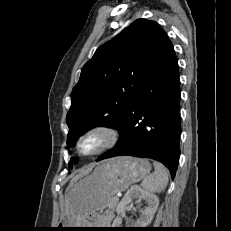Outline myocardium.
<instances>
[{"label": "myocardium", "instance_id": "obj_1", "mask_svg": "<svg viewBox=\"0 0 231 231\" xmlns=\"http://www.w3.org/2000/svg\"><path fill=\"white\" fill-rule=\"evenodd\" d=\"M93 134H101L105 137V143L96 151L91 153H83L80 150V143L81 141ZM120 133L117 129L114 127L107 125V124H96L89 128H87L85 131H83L77 138L75 143V148L77 153L85 158H93L96 156H99L101 154L106 153L107 151L111 150L119 141Z\"/></svg>", "mask_w": 231, "mask_h": 231}]
</instances>
